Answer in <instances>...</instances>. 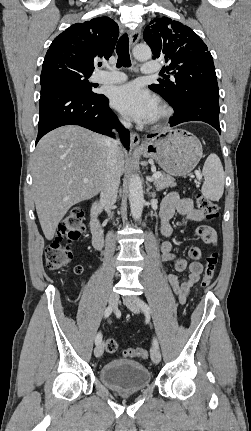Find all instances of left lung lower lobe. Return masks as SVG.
I'll return each mask as SVG.
<instances>
[{"mask_svg":"<svg viewBox=\"0 0 251 431\" xmlns=\"http://www.w3.org/2000/svg\"><path fill=\"white\" fill-rule=\"evenodd\" d=\"M219 95L196 93L188 96L181 105L174 108V116L169 120L171 127L187 121H203L221 133L219 125ZM154 134L148 135L153 137Z\"/></svg>","mask_w":251,"mask_h":431,"instance_id":"1","label":"left lung lower lobe"}]
</instances>
